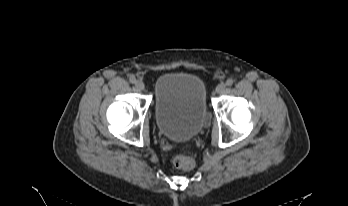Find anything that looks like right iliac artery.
<instances>
[{
  "mask_svg": "<svg viewBox=\"0 0 348 206\" xmlns=\"http://www.w3.org/2000/svg\"><path fill=\"white\" fill-rule=\"evenodd\" d=\"M129 81L131 83H135L136 82V78L134 76H130Z\"/></svg>",
  "mask_w": 348,
  "mask_h": 206,
  "instance_id": "right-iliac-artery-1",
  "label": "right iliac artery"
}]
</instances>
